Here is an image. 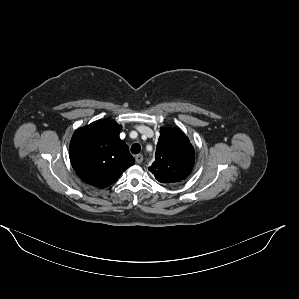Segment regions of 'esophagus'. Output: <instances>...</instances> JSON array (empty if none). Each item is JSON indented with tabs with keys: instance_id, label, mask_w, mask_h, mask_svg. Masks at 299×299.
I'll use <instances>...</instances> for the list:
<instances>
[{
	"instance_id": "1",
	"label": "esophagus",
	"mask_w": 299,
	"mask_h": 299,
	"mask_svg": "<svg viewBox=\"0 0 299 299\" xmlns=\"http://www.w3.org/2000/svg\"><path fill=\"white\" fill-rule=\"evenodd\" d=\"M135 160H136L137 163H141L143 161V155L137 154L135 156Z\"/></svg>"
}]
</instances>
